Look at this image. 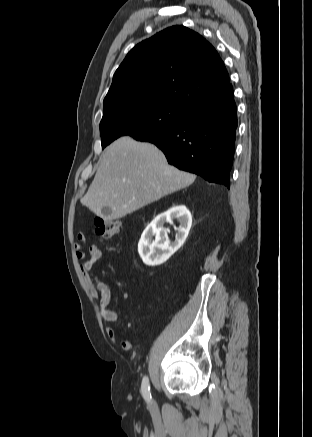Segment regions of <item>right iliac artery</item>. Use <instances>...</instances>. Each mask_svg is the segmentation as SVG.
Here are the masks:
<instances>
[{
  "mask_svg": "<svg viewBox=\"0 0 312 437\" xmlns=\"http://www.w3.org/2000/svg\"><path fill=\"white\" fill-rule=\"evenodd\" d=\"M141 389H142V395H143L144 399L147 402H150L152 396H151V393H150L149 379L146 376L143 378Z\"/></svg>",
  "mask_w": 312,
  "mask_h": 437,
  "instance_id": "1",
  "label": "right iliac artery"
}]
</instances>
